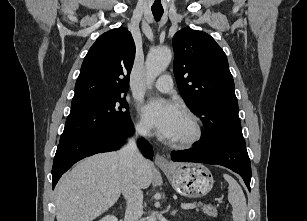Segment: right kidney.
Wrapping results in <instances>:
<instances>
[{
  "label": "right kidney",
  "mask_w": 307,
  "mask_h": 221,
  "mask_svg": "<svg viewBox=\"0 0 307 221\" xmlns=\"http://www.w3.org/2000/svg\"><path fill=\"white\" fill-rule=\"evenodd\" d=\"M99 221H118V219L113 215H108V216L103 217Z\"/></svg>",
  "instance_id": "ca27d5eb"
}]
</instances>
